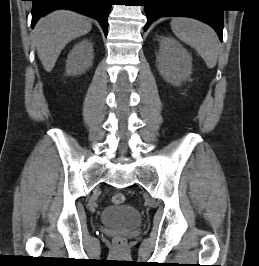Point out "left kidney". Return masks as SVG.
<instances>
[{"mask_svg":"<svg viewBox=\"0 0 259 266\" xmlns=\"http://www.w3.org/2000/svg\"><path fill=\"white\" fill-rule=\"evenodd\" d=\"M157 63L161 76L173 85H179L191 74L192 57L172 37L161 38Z\"/></svg>","mask_w":259,"mask_h":266,"instance_id":"5707ae66","label":"left kidney"}]
</instances>
